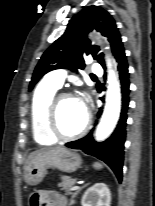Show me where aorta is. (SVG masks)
<instances>
[{
    "mask_svg": "<svg viewBox=\"0 0 155 206\" xmlns=\"http://www.w3.org/2000/svg\"><path fill=\"white\" fill-rule=\"evenodd\" d=\"M108 66V89L106 93V105L96 129V140H105L114 130L120 115L121 94L117 76L112 69L111 60H107Z\"/></svg>",
    "mask_w": 155,
    "mask_h": 206,
    "instance_id": "762f6f07",
    "label": "aorta"
}]
</instances>
